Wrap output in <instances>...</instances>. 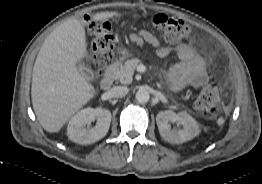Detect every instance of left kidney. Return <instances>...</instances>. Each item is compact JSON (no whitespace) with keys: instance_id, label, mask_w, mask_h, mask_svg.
Listing matches in <instances>:
<instances>
[{"instance_id":"left-kidney-1","label":"left kidney","mask_w":262,"mask_h":184,"mask_svg":"<svg viewBox=\"0 0 262 184\" xmlns=\"http://www.w3.org/2000/svg\"><path fill=\"white\" fill-rule=\"evenodd\" d=\"M156 122L161 137L173 144L189 141L200 133L196 120L186 112L176 114L170 110L161 111L156 116ZM169 122H179L183 129L171 130Z\"/></svg>"}]
</instances>
